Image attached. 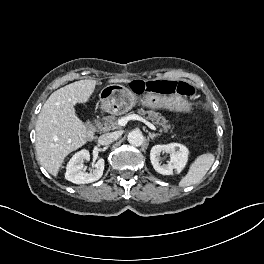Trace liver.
Listing matches in <instances>:
<instances>
[{"label": "liver", "instance_id": "1", "mask_svg": "<svg viewBox=\"0 0 264 264\" xmlns=\"http://www.w3.org/2000/svg\"><path fill=\"white\" fill-rule=\"evenodd\" d=\"M109 83H129L110 79ZM95 80H80L53 92L44 103L36 123V154L40 164L54 177L65 157L87 142V130L75 113V104L86 103Z\"/></svg>", "mask_w": 264, "mask_h": 264}]
</instances>
